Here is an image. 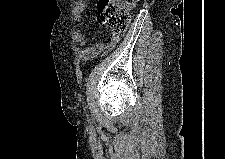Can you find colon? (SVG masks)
I'll use <instances>...</instances> for the list:
<instances>
[{
	"label": "colon",
	"mask_w": 225,
	"mask_h": 159,
	"mask_svg": "<svg viewBox=\"0 0 225 159\" xmlns=\"http://www.w3.org/2000/svg\"><path fill=\"white\" fill-rule=\"evenodd\" d=\"M136 3L137 0L100 1L101 20L109 28L111 36L120 37L125 33Z\"/></svg>",
	"instance_id": "obj_1"
}]
</instances>
